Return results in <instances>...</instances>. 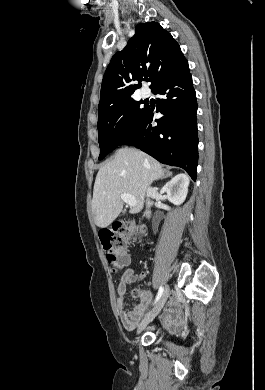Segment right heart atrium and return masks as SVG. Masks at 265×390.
Listing matches in <instances>:
<instances>
[{
  "label": "right heart atrium",
  "mask_w": 265,
  "mask_h": 390,
  "mask_svg": "<svg viewBox=\"0 0 265 390\" xmlns=\"http://www.w3.org/2000/svg\"><path fill=\"white\" fill-rule=\"evenodd\" d=\"M117 126H118V129H119L120 131H125V130H126V122H125V120H124L123 118H121V119L118 121Z\"/></svg>",
  "instance_id": "obj_1"
}]
</instances>
